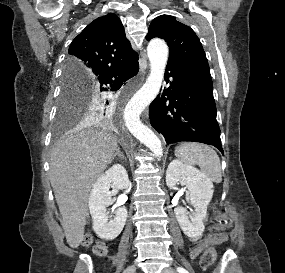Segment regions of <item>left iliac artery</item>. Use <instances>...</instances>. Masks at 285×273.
Returning <instances> with one entry per match:
<instances>
[{"instance_id": "1", "label": "left iliac artery", "mask_w": 285, "mask_h": 273, "mask_svg": "<svg viewBox=\"0 0 285 273\" xmlns=\"http://www.w3.org/2000/svg\"><path fill=\"white\" fill-rule=\"evenodd\" d=\"M177 271L179 272V273H188L184 268H182V267H178L177 268Z\"/></svg>"}]
</instances>
